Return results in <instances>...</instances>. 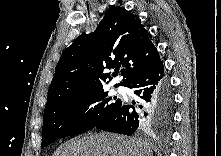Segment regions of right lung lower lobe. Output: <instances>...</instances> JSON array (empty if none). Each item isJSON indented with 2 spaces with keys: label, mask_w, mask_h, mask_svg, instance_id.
<instances>
[{
  "label": "right lung lower lobe",
  "mask_w": 221,
  "mask_h": 156,
  "mask_svg": "<svg viewBox=\"0 0 221 156\" xmlns=\"http://www.w3.org/2000/svg\"><path fill=\"white\" fill-rule=\"evenodd\" d=\"M125 87L133 89L139 100L123 103L95 126L109 132L132 135L139 128L168 127L173 115V95L163 62L131 79Z\"/></svg>",
  "instance_id": "1"
}]
</instances>
